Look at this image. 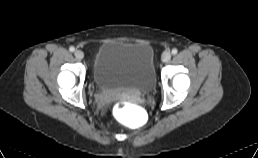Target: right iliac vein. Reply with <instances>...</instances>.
Wrapping results in <instances>:
<instances>
[{"instance_id": "right-iliac-vein-1", "label": "right iliac vein", "mask_w": 258, "mask_h": 158, "mask_svg": "<svg viewBox=\"0 0 258 158\" xmlns=\"http://www.w3.org/2000/svg\"><path fill=\"white\" fill-rule=\"evenodd\" d=\"M75 57L78 59V60H81L84 58V53L83 51L81 50H76L75 53H74Z\"/></svg>"}]
</instances>
